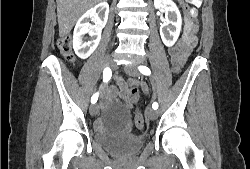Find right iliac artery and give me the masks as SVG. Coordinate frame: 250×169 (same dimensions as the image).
<instances>
[{"label": "right iliac artery", "mask_w": 250, "mask_h": 169, "mask_svg": "<svg viewBox=\"0 0 250 169\" xmlns=\"http://www.w3.org/2000/svg\"><path fill=\"white\" fill-rule=\"evenodd\" d=\"M112 76V71L110 68H105L103 71V81L104 82H108L111 79ZM98 95L99 93H95L92 97H91V103H96L98 100Z\"/></svg>", "instance_id": "obj_1"}]
</instances>
